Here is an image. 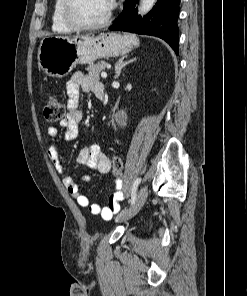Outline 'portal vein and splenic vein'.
<instances>
[{
	"label": "portal vein and splenic vein",
	"instance_id": "portal-vein-and-splenic-vein-1",
	"mask_svg": "<svg viewBox=\"0 0 247 296\" xmlns=\"http://www.w3.org/2000/svg\"><path fill=\"white\" fill-rule=\"evenodd\" d=\"M101 77H102V78H106V77H107V73H106V72H102V73H101Z\"/></svg>",
	"mask_w": 247,
	"mask_h": 296
}]
</instances>
